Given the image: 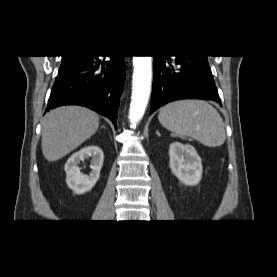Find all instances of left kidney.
<instances>
[{
    "instance_id": "obj_1",
    "label": "left kidney",
    "mask_w": 277,
    "mask_h": 277,
    "mask_svg": "<svg viewBox=\"0 0 277 277\" xmlns=\"http://www.w3.org/2000/svg\"><path fill=\"white\" fill-rule=\"evenodd\" d=\"M169 166L172 173L185 185H197L202 177V161L189 144L173 142L169 148Z\"/></svg>"
}]
</instances>
